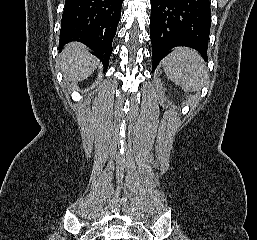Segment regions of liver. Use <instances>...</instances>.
Returning a JSON list of instances; mask_svg holds the SVG:
<instances>
[{"mask_svg": "<svg viewBox=\"0 0 257 240\" xmlns=\"http://www.w3.org/2000/svg\"><path fill=\"white\" fill-rule=\"evenodd\" d=\"M59 65L66 81L87 79L98 65V60L81 43L67 44L59 55Z\"/></svg>", "mask_w": 257, "mask_h": 240, "instance_id": "1", "label": "liver"}]
</instances>
